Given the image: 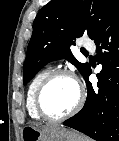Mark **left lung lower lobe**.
I'll use <instances>...</instances> for the list:
<instances>
[{"label":"left lung lower lobe","mask_w":119,"mask_h":141,"mask_svg":"<svg viewBox=\"0 0 119 141\" xmlns=\"http://www.w3.org/2000/svg\"><path fill=\"white\" fill-rule=\"evenodd\" d=\"M96 44L102 70L94 88L85 74L87 99L84 107L64 125L97 141H119V8L91 38Z\"/></svg>","instance_id":"left-lung-lower-lobe-1"}]
</instances>
